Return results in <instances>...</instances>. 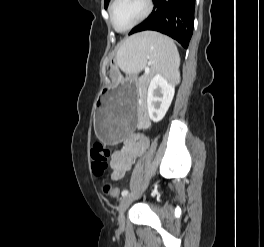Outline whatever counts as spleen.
I'll return each mask as SVG.
<instances>
[{
	"label": "spleen",
	"instance_id": "1",
	"mask_svg": "<svg viewBox=\"0 0 264 247\" xmlns=\"http://www.w3.org/2000/svg\"><path fill=\"white\" fill-rule=\"evenodd\" d=\"M117 63L129 75H136L150 65L152 72L179 78L180 57L175 43L154 31L139 33L127 39L117 52Z\"/></svg>",
	"mask_w": 264,
	"mask_h": 247
}]
</instances>
